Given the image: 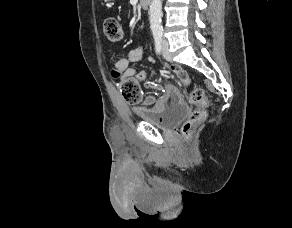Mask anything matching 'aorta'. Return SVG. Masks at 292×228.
I'll use <instances>...</instances> for the list:
<instances>
[{
    "mask_svg": "<svg viewBox=\"0 0 292 228\" xmlns=\"http://www.w3.org/2000/svg\"><path fill=\"white\" fill-rule=\"evenodd\" d=\"M162 0H152L149 8L150 27L153 33L162 32Z\"/></svg>",
    "mask_w": 292,
    "mask_h": 228,
    "instance_id": "762f6f07",
    "label": "aorta"
}]
</instances>
